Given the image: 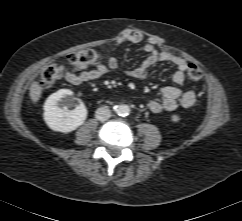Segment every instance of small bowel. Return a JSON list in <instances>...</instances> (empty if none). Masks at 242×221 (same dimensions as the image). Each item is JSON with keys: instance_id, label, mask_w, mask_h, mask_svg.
<instances>
[{"instance_id": "c3829d8e", "label": "small bowel", "mask_w": 242, "mask_h": 221, "mask_svg": "<svg viewBox=\"0 0 242 221\" xmlns=\"http://www.w3.org/2000/svg\"><path fill=\"white\" fill-rule=\"evenodd\" d=\"M145 36L140 31L125 30L114 42L118 46L124 42L140 43ZM148 56L138 66L125 70V75L135 79H145L150 69L160 62H166L176 67L172 80L174 86L161 88V99L151 100L149 109L158 114L164 111H174L179 106L190 108L196 102L195 92L192 90L182 91L179 86L184 82V74L188 68V62L175 54L166 51H159L156 45L148 41L143 47ZM120 60L116 57H110L105 63H98L91 69H85L79 72H73L63 65L64 78L73 85H80L86 82L98 80L105 76L109 71L119 68Z\"/></svg>"}]
</instances>
